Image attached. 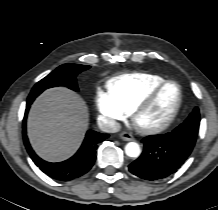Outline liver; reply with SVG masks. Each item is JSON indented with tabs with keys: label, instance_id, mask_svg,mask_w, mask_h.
I'll list each match as a JSON object with an SVG mask.
<instances>
[{
	"label": "liver",
	"instance_id": "liver-1",
	"mask_svg": "<svg viewBox=\"0 0 218 210\" xmlns=\"http://www.w3.org/2000/svg\"><path fill=\"white\" fill-rule=\"evenodd\" d=\"M88 108L75 92L57 87L44 91L27 121L30 143L47 161H62L79 148L88 127Z\"/></svg>",
	"mask_w": 218,
	"mask_h": 210
}]
</instances>
